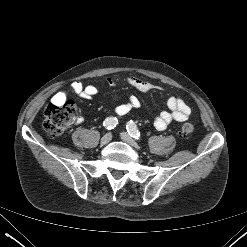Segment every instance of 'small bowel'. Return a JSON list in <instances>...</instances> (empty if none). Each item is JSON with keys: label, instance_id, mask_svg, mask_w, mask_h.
<instances>
[{"label": "small bowel", "instance_id": "1", "mask_svg": "<svg viewBox=\"0 0 247 247\" xmlns=\"http://www.w3.org/2000/svg\"><path fill=\"white\" fill-rule=\"evenodd\" d=\"M127 83L133 88L141 92H147L151 90H163L162 87L157 86L150 81L141 79L136 76H129L127 78ZM109 84L114 85V82L109 79ZM71 88L75 94L83 99H92L98 94V88L94 85H84L80 81H75L72 83ZM67 95L65 92L60 91L56 93L52 102L62 103L66 100ZM141 105L140 100L136 96H130L129 99L118 105L115 108V113L117 116H124L128 114L131 110L139 108ZM168 110L160 112L154 118V127L158 130H164L172 122H184L186 121L191 113L189 105L182 99L178 97H170L167 101Z\"/></svg>", "mask_w": 247, "mask_h": 247}]
</instances>
